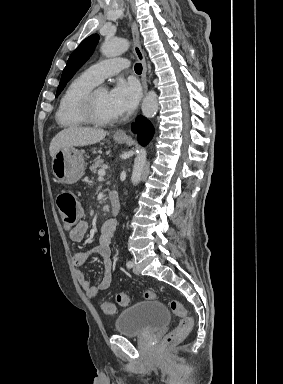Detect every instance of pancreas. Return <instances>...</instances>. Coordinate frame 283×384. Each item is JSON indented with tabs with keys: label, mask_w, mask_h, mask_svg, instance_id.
I'll return each instance as SVG.
<instances>
[{
	"label": "pancreas",
	"mask_w": 283,
	"mask_h": 384,
	"mask_svg": "<svg viewBox=\"0 0 283 384\" xmlns=\"http://www.w3.org/2000/svg\"><path fill=\"white\" fill-rule=\"evenodd\" d=\"M103 166H105V164H103V160H96V162L90 166V170L95 174V172H97V168H102L103 170Z\"/></svg>",
	"instance_id": "1"
}]
</instances>
